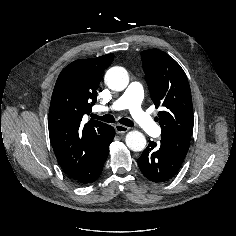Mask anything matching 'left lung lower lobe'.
I'll return each instance as SVG.
<instances>
[{"label":"left lung lower lobe","instance_id":"left-lung-lower-lobe-1","mask_svg":"<svg viewBox=\"0 0 236 236\" xmlns=\"http://www.w3.org/2000/svg\"><path fill=\"white\" fill-rule=\"evenodd\" d=\"M182 158L161 145L149 141V145L138 158V165L143 175L152 182H165L179 171Z\"/></svg>","mask_w":236,"mask_h":236}]
</instances>
